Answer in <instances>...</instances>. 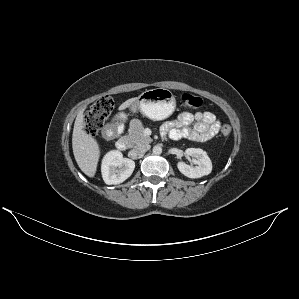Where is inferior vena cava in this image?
Instances as JSON below:
<instances>
[{
  "mask_svg": "<svg viewBox=\"0 0 299 299\" xmlns=\"http://www.w3.org/2000/svg\"><path fill=\"white\" fill-rule=\"evenodd\" d=\"M150 149V145L148 144H138L133 148V153L135 155H142L146 153Z\"/></svg>",
  "mask_w": 299,
  "mask_h": 299,
  "instance_id": "obj_1",
  "label": "inferior vena cava"
}]
</instances>
